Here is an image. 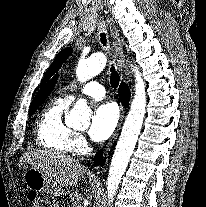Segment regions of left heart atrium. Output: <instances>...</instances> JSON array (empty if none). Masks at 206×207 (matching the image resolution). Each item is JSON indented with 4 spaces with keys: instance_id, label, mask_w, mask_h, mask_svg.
<instances>
[{
    "instance_id": "1",
    "label": "left heart atrium",
    "mask_w": 206,
    "mask_h": 207,
    "mask_svg": "<svg viewBox=\"0 0 206 207\" xmlns=\"http://www.w3.org/2000/svg\"><path fill=\"white\" fill-rule=\"evenodd\" d=\"M119 120V110L114 103L99 105L91 120L89 135L94 141L107 139L114 131Z\"/></svg>"
}]
</instances>
